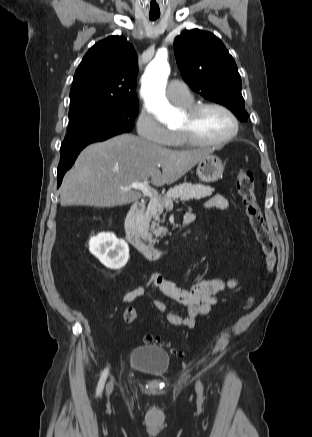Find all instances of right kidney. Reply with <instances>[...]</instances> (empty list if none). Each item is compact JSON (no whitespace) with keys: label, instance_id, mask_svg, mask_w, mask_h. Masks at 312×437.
<instances>
[{"label":"right kidney","instance_id":"ca27d5eb","mask_svg":"<svg viewBox=\"0 0 312 437\" xmlns=\"http://www.w3.org/2000/svg\"><path fill=\"white\" fill-rule=\"evenodd\" d=\"M89 250L110 269L122 268L129 259L128 244L123 239H118L113 233H100L92 237Z\"/></svg>","mask_w":312,"mask_h":437}]
</instances>
